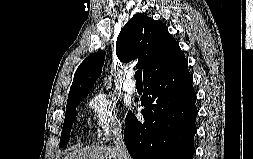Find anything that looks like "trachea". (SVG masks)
I'll list each match as a JSON object with an SVG mask.
<instances>
[{
	"mask_svg": "<svg viewBox=\"0 0 253 159\" xmlns=\"http://www.w3.org/2000/svg\"><path fill=\"white\" fill-rule=\"evenodd\" d=\"M135 79H136V82H142V70H137L135 72Z\"/></svg>",
	"mask_w": 253,
	"mask_h": 159,
	"instance_id": "trachea-1",
	"label": "trachea"
}]
</instances>
